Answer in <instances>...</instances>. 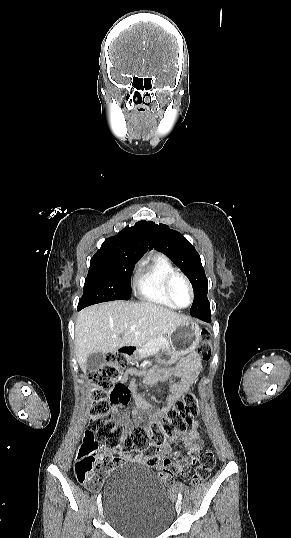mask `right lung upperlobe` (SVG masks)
<instances>
[{
    "instance_id": "right-lung-upper-lobe-1",
    "label": "right lung upper lobe",
    "mask_w": 291,
    "mask_h": 538,
    "mask_svg": "<svg viewBox=\"0 0 291 538\" xmlns=\"http://www.w3.org/2000/svg\"><path fill=\"white\" fill-rule=\"evenodd\" d=\"M148 224L139 221L133 227H125L117 235L107 238L95 255L127 256L140 259L151 249Z\"/></svg>"
}]
</instances>
